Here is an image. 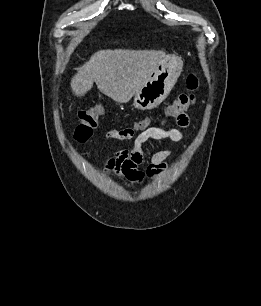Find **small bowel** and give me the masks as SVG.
I'll return each instance as SVG.
<instances>
[{
    "instance_id": "obj_1",
    "label": "small bowel",
    "mask_w": 261,
    "mask_h": 306,
    "mask_svg": "<svg viewBox=\"0 0 261 306\" xmlns=\"http://www.w3.org/2000/svg\"><path fill=\"white\" fill-rule=\"evenodd\" d=\"M176 120L180 128L188 125V118L185 114ZM165 123L166 118L162 120L161 125L151 127L139 134L131 149L116 151L107 163L109 173L131 184H139L146 176L154 179L160 177L167 167L165 161L174 154L173 150L166 149L156 152L143 170L141 169L144 163L143 144L150 139L170 140L172 142H180L184 139V135L179 128H165ZM107 137L120 140L130 138L124 135V130L115 129L109 131Z\"/></svg>"
}]
</instances>
